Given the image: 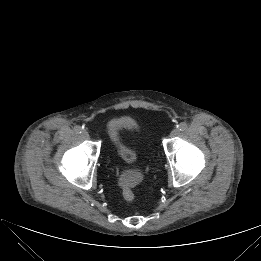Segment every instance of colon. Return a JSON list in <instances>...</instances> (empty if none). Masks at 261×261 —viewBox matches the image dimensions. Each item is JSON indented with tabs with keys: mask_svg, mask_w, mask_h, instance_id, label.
Instances as JSON below:
<instances>
[{
	"mask_svg": "<svg viewBox=\"0 0 261 261\" xmlns=\"http://www.w3.org/2000/svg\"><path fill=\"white\" fill-rule=\"evenodd\" d=\"M120 185L123 199L132 202L135 198L132 182L128 179H122Z\"/></svg>",
	"mask_w": 261,
	"mask_h": 261,
	"instance_id": "1",
	"label": "colon"
}]
</instances>
